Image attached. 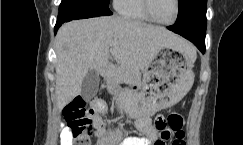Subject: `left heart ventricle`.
I'll list each match as a JSON object with an SVG mask.
<instances>
[{
    "label": "left heart ventricle",
    "mask_w": 243,
    "mask_h": 145,
    "mask_svg": "<svg viewBox=\"0 0 243 145\" xmlns=\"http://www.w3.org/2000/svg\"><path fill=\"white\" fill-rule=\"evenodd\" d=\"M154 17L161 22H170L175 13L174 0H151Z\"/></svg>",
    "instance_id": "left-heart-ventricle-1"
}]
</instances>
